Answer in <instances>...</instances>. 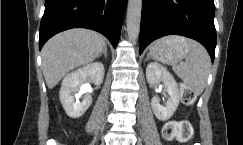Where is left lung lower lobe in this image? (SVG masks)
Returning a JSON list of instances; mask_svg holds the SVG:
<instances>
[{"instance_id":"left-lung-lower-lobe-1","label":"left lung lower lobe","mask_w":243,"mask_h":145,"mask_svg":"<svg viewBox=\"0 0 243 145\" xmlns=\"http://www.w3.org/2000/svg\"><path fill=\"white\" fill-rule=\"evenodd\" d=\"M213 0H142L140 54L155 39L182 35L200 42L215 57Z\"/></svg>"}]
</instances>
